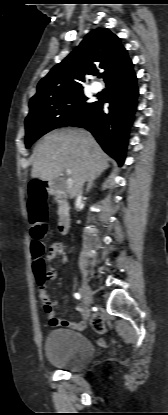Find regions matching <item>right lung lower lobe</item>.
Returning a JSON list of instances; mask_svg holds the SVG:
<instances>
[{
  "mask_svg": "<svg viewBox=\"0 0 168 415\" xmlns=\"http://www.w3.org/2000/svg\"><path fill=\"white\" fill-rule=\"evenodd\" d=\"M133 64L106 82L108 95L99 98L93 107L69 126L89 130L103 150L120 165L124 163L130 126L136 110L138 88ZM109 103V112L103 111Z\"/></svg>",
  "mask_w": 168,
  "mask_h": 415,
  "instance_id": "right-lung-lower-lobe-1",
  "label": "right lung lower lobe"
}]
</instances>
